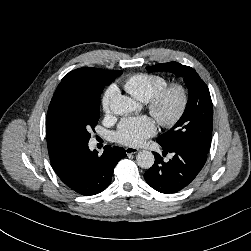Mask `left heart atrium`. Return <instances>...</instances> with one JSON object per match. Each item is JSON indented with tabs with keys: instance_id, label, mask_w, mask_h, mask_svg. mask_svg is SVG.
<instances>
[{
	"instance_id": "left-heart-atrium-1",
	"label": "left heart atrium",
	"mask_w": 251,
	"mask_h": 251,
	"mask_svg": "<svg viewBox=\"0 0 251 251\" xmlns=\"http://www.w3.org/2000/svg\"><path fill=\"white\" fill-rule=\"evenodd\" d=\"M154 121L148 116L124 119L115 133V140L125 146L134 147L154 135Z\"/></svg>"
}]
</instances>
